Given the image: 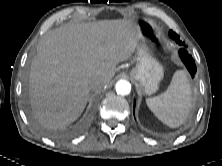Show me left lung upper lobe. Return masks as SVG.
<instances>
[{
	"mask_svg": "<svg viewBox=\"0 0 222 166\" xmlns=\"http://www.w3.org/2000/svg\"><path fill=\"white\" fill-rule=\"evenodd\" d=\"M169 36L172 38V39H174L176 42H180L181 40H180V37L176 34V33H174L172 30H170L169 31ZM182 42V41H181Z\"/></svg>",
	"mask_w": 222,
	"mask_h": 166,
	"instance_id": "obj_1",
	"label": "left lung upper lobe"
}]
</instances>
